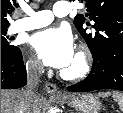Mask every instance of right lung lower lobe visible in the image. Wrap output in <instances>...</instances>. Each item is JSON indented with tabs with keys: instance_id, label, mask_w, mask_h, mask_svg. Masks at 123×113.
Segmentation results:
<instances>
[{
	"instance_id": "98d812e1",
	"label": "right lung lower lobe",
	"mask_w": 123,
	"mask_h": 113,
	"mask_svg": "<svg viewBox=\"0 0 123 113\" xmlns=\"http://www.w3.org/2000/svg\"><path fill=\"white\" fill-rule=\"evenodd\" d=\"M26 82L21 51L13 56L1 55V89H17L25 86Z\"/></svg>"
}]
</instances>
